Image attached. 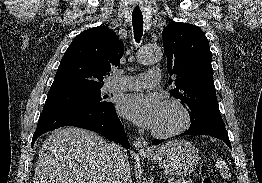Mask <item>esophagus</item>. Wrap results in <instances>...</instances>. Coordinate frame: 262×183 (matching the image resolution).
I'll use <instances>...</instances> for the list:
<instances>
[{"label":"esophagus","instance_id":"34e87169","mask_svg":"<svg viewBox=\"0 0 262 183\" xmlns=\"http://www.w3.org/2000/svg\"><path fill=\"white\" fill-rule=\"evenodd\" d=\"M135 148L140 152H150L151 148L143 137H137L134 141Z\"/></svg>","mask_w":262,"mask_h":183}]
</instances>
